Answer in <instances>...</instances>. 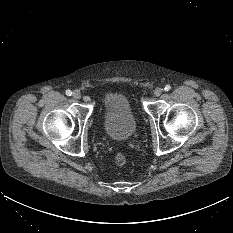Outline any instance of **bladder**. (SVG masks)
Here are the masks:
<instances>
[{
  "mask_svg": "<svg viewBox=\"0 0 233 233\" xmlns=\"http://www.w3.org/2000/svg\"><path fill=\"white\" fill-rule=\"evenodd\" d=\"M102 128L105 135L113 140L126 141L137 131V122L125 94L114 92L104 99Z\"/></svg>",
  "mask_w": 233,
  "mask_h": 233,
  "instance_id": "31cf9c89",
  "label": "bladder"
}]
</instances>
